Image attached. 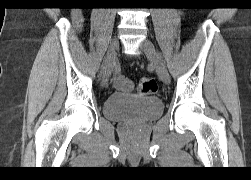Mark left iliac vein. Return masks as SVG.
I'll return each instance as SVG.
<instances>
[{
	"instance_id": "4c4485c4",
	"label": "left iliac vein",
	"mask_w": 251,
	"mask_h": 180,
	"mask_svg": "<svg viewBox=\"0 0 251 180\" xmlns=\"http://www.w3.org/2000/svg\"><path fill=\"white\" fill-rule=\"evenodd\" d=\"M141 48L144 51L147 58L152 62L154 67L156 68V72L162 82L165 84L170 83V75L161 61L160 56L158 55L154 44L149 40L145 39L142 44Z\"/></svg>"
}]
</instances>
